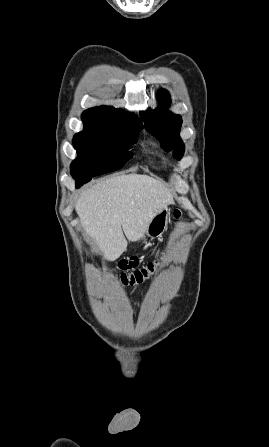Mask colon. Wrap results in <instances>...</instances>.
Here are the masks:
<instances>
[{
	"mask_svg": "<svg viewBox=\"0 0 269 447\" xmlns=\"http://www.w3.org/2000/svg\"><path fill=\"white\" fill-rule=\"evenodd\" d=\"M174 218L180 220L183 216L181 209H176L173 213ZM166 255L160 254L153 260L144 263L141 267L139 262H130L129 258H124L120 268L116 267L114 272L119 274L121 270L131 271L120 273L117 277V283L121 288H134L149 280H152L158 273L161 263L165 260ZM132 261L138 260L137 254L131 255Z\"/></svg>",
	"mask_w": 269,
	"mask_h": 447,
	"instance_id": "1",
	"label": "colon"
}]
</instances>
